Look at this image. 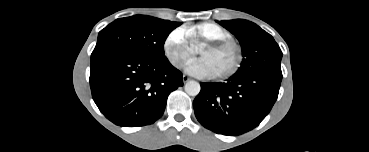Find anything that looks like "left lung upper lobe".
<instances>
[{
    "instance_id": "obj_1",
    "label": "left lung upper lobe",
    "mask_w": 369,
    "mask_h": 152,
    "mask_svg": "<svg viewBox=\"0 0 369 152\" xmlns=\"http://www.w3.org/2000/svg\"><path fill=\"white\" fill-rule=\"evenodd\" d=\"M217 22L235 35L241 44L243 60L236 75L246 76L262 72L282 74V51L270 34L247 20Z\"/></svg>"
}]
</instances>
